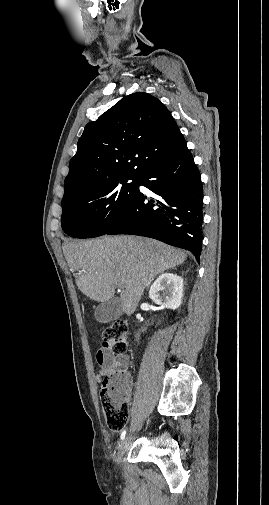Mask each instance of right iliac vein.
<instances>
[{"mask_svg": "<svg viewBox=\"0 0 269 505\" xmlns=\"http://www.w3.org/2000/svg\"><path fill=\"white\" fill-rule=\"evenodd\" d=\"M129 441H130V436H127L126 438H124L119 446V451H118V454H117V461L119 462L120 459L122 458V456L124 455L125 451L127 450L128 448V445H129Z\"/></svg>", "mask_w": 269, "mask_h": 505, "instance_id": "1", "label": "right iliac vein"}]
</instances>
